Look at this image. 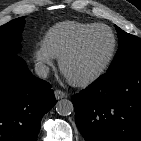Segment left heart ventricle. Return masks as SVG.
Instances as JSON below:
<instances>
[{
    "label": "left heart ventricle",
    "instance_id": "1",
    "mask_svg": "<svg viewBox=\"0 0 141 141\" xmlns=\"http://www.w3.org/2000/svg\"><path fill=\"white\" fill-rule=\"evenodd\" d=\"M112 46L110 33L99 28L90 33L79 50L65 65L69 78L80 79L96 71L107 58Z\"/></svg>",
    "mask_w": 141,
    "mask_h": 141
}]
</instances>
